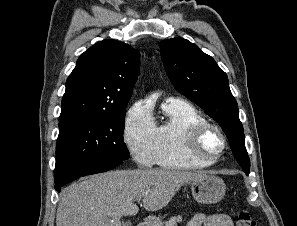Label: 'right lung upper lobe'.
<instances>
[{"mask_svg": "<svg viewBox=\"0 0 297 226\" xmlns=\"http://www.w3.org/2000/svg\"><path fill=\"white\" fill-rule=\"evenodd\" d=\"M140 55L130 45L103 40L86 50L66 81L59 120L125 111L139 74Z\"/></svg>", "mask_w": 297, "mask_h": 226, "instance_id": "right-lung-upper-lobe-1", "label": "right lung upper lobe"}]
</instances>
